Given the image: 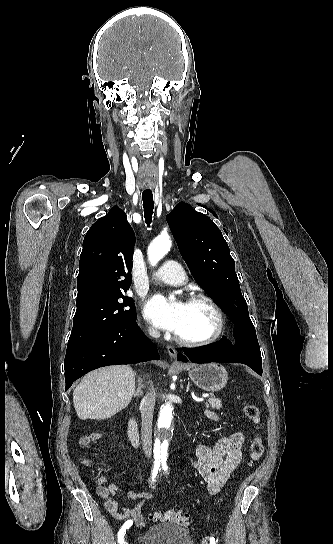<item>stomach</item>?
Instances as JSON below:
<instances>
[{
  "label": "stomach",
  "mask_w": 333,
  "mask_h": 544,
  "mask_svg": "<svg viewBox=\"0 0 333 544\" xmlns=\"http://www.w3.org/2000/svg\"><path fill=\"white\" fill-rule=\"evenodd\" d=\"M188 374L198 387L208 392L220 391L228 381L226 369L214 362L192 366Z\"/></svg>",
  "instance_id": "1"
}]
</instances>
